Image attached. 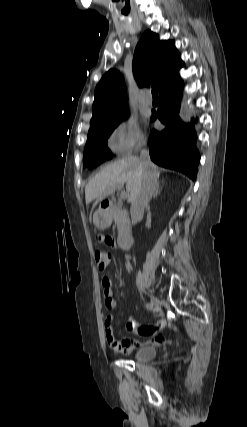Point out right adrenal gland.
Here are the masks:
<instances>
[{
  "label": "right adrenal gland",
  "instance_id": "1",
  "mask_svg": "<svg viewBox=\"0 0 247 427\" xmlns=\"http://www.w3.org/2000/svg\"><path fill=\"white\" fill-rule=\"evenodd\" d=\"M161 191H162V187H160V184L157 183L156 191L153 195V198H155L158 194H160Z\"/></svg>",
  "mask_w": 247,
  "mask_h": 427
}]
</instances>
